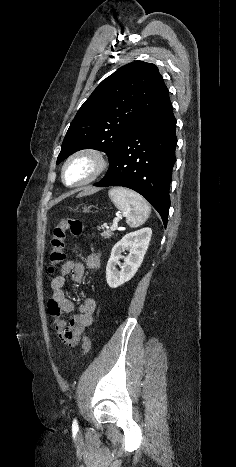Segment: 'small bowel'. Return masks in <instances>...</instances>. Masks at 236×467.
Segmentation results:
<instances>
[{"label":"small bowel","instance_id":"1","mask_svg":"<svg viewBox=\"0 0 236 467\" xmlns=\"http://www.w3.org/2000/svg\"><path fill=\"white\" fill-rule=\"evenodd\" d=\"M101 259L98 254L91 253L86 257V267L96 270L100 267ZM85 275V265L72 260L63 264L61 272L50 283V297L48 300V313L53 318V328L59 338L68 346H75L81 339L86 328L92 325L96 302L92 298H86L75 312V305L64 291L67 277L73 282H82ZM74 313L66 320L63 315Z\"/></svg>","mask_w":236,"mask_h":467}]
</instances>
